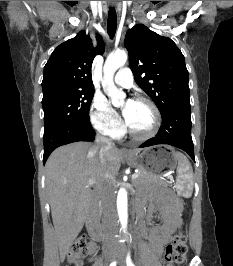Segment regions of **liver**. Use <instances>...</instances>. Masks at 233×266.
<instances>
[{
    "label": "liver",
    "mask_w": 233,
    "mask_h": 266,
    "mask_svg": "<svg viewBox=\"0 0 233 266\" xmlns=\"http://www.w3.org/2000/svg\"><path fill=\"white\" fill-rule=\"evenodd\" d=\"M99 150L97 144L75 142L57 148L46 162V188L61 261L84 226L93 196L87 181L94 179L101 188L119 172V150L112 147L103 159Z\"/></svg>",
    "instance_id": "1"
}]
</instances>
